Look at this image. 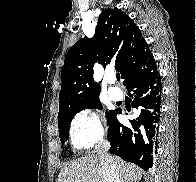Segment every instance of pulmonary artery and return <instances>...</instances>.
<instances>
[{
	"label": "pulmonary artery",
	"instance_id": "1",
	"mask_svg": "<svg viewBox=\"0 0 196 182\" xmlns=\"http://www.w3.org/2000/svg\"><path fill=\"white\" fill-rule=\"evenodd\" d=\"M109 82L110 84H114V80H110ZM108 94L111 97V99L115 101L120 100L123 96L122 90L116 86H110L108 88Z\"/></svg>",
	"mask_w": 196,
	"mask_h": 182
}]
</instances>
